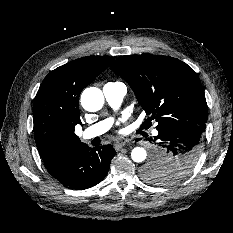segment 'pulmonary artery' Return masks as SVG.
Returning a JSON list of instances; mask_svg holds the SVG:
<instances>
[{"mask_svg":"<svg viewBox=\"0 0 233 233\" xmlns=\"http://www.w3.org/2000/svg\"><path fill=\"white\" fill-rule=\"evenodd\" d=\"M126 86L123 83L115 82V83H107L103 87V94L108 102V104L116 109L118 108L125 95H126ZM112 125V119H105L103 121H100L92 126L87 127L82 132V138L85 140L92 139L94 137L100 136L106 131L110 129ZM155 134H157V131H155Z\"/></svg>","mask_w":233,"mask_h":233,"instance_id":"e3ab8cb5","label":"pulmonary artery"}]
</instances>
